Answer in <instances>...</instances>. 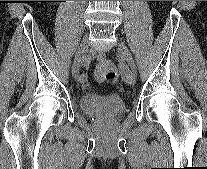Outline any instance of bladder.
Masks as SVG:
<instances>
[{
	"instance_id": "obj_1",
	"label": "bladder",
	"mask_w": 207,
	"mask_h": 169,
	"mask_svg": "<svg viewBox=\"0 0 207 169\" xmlns=\"http://www.w3.org/2000/svg\"><path fill=\"white\" fill-rule=\"evenodd\" d=\"M80 107L89 116L113 117L125 111L126 102L117 94L87 92L80 99Z\"/></svg>"
}]
</instances>
